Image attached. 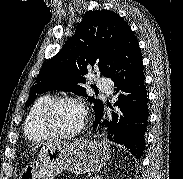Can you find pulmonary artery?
I'll use <instances>...</instances> for the list:
<instances>
[{
	"instance_id": "obj_1",
	"label": "pulmonary artery",
	"mask_w": 183,
	"mask_h": 179,
	"mask_svg": "<svg viewBox=\"0 0 183 179\" xmlns=\"http://www.w3.org/2000/svg\"><path fill=\"white\" fill-rule=\"evenodd\" d=\"M98 87L102 90H104L106 93L110 94L111 89H110V80L107 78H100L98 80Z\"/></svg>"
}]
</instances>
